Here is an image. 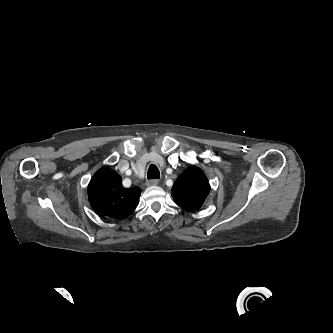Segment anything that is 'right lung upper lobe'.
Masks as SVG:
<instances>
[{
  "mask_svg": "<svg viewBox=\"0 0 333 333\" xmlns=\"http://www.w3.org/2000/svg\"><path fill=\"white\" fill-rule=\"evenodd\" d=\"M141 191L139 187L124 188L117 172L102 167L91 178L88 198L97 213L122 220L137 207Z\"/></svg>",
  "mask_w": 333,
  "mask_h": 333,
  "instance_id": "right-lung-upper-lobe-1",
  "label": "right lung upper lobe"
}]
</instances>
